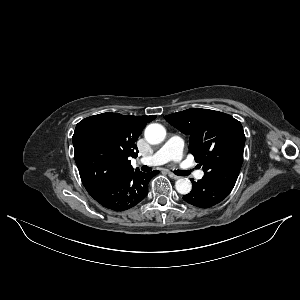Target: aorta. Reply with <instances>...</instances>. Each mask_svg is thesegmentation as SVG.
Masks as SVG:
<instances>
[{"instance_id":"1","label":"aorta","mask_w":300,"mask_h":300,"mask_svg":"<svg viewBox=\"0 0 300 300\" xmlns=\"http://www.w3.org/2000/svg\"><path fill=\"white\" fill-rule=\"evenodd\" d=\"M144 136L150 144H159L164 141L166 137V130L161 124L153 123L146 127ZM175 188L178 193L186 195L190 193L192 183L187 178H180L176 181Z\"/></svg>"}]
</instances>
